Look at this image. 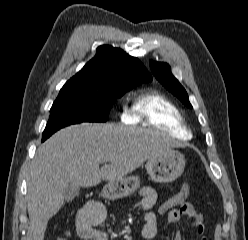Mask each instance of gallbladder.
<instances>
[{
    "mask_svg": "<svg viewBox=\"0 0 248 240\" xmlns=\"http://www.w3.org/2000/svg\"><path fill=\"white\" fill-rule=\"evenodd\" d=\"M80 187L69 184L64 190V197L67 202H71L75 197L79 195Z\"/></svg>",
    "mask_w": 248,
    "mask_h": 240,
    "instance_id": "1",
    "label": "gallbladder"
}]
</instances>
